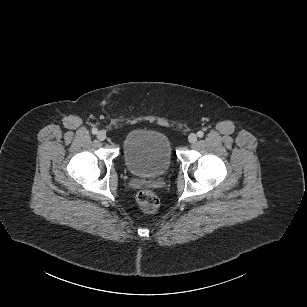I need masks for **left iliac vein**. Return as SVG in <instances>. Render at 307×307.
Wrapping results in <instances>:
<instances>
[{
	"mask_svg": "<svg viewBox=\"0 0 307 307\" xmlns=\"http://www.w3.org/2000/svg\"><path fill=\"white\" fill-rule=\"evenodd\" d=\"M190 143H195L197 141V135L195 133H191L188 137Z\"/></svg>",
	"mask_w": 307,
	"mask_h": 307,
	"instance_id": "left-iliac-vein-1",
	"label": "left iliac vein"
}]
</instances>
